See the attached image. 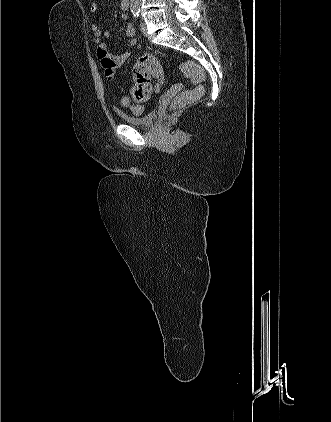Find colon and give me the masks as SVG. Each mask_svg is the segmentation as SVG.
I'll use <instances>...</instances> for the list:
<instances>
[{"label": "colon", "instance_id": "obj_1", "mask_svg": "<svg viewBox=\"0 0 331 422\" xmlns=\"http://www.w3.org/2000/svg\"><path fill=\"white\" fill-rule=\"evenodd\" d=\"M181 72L189 77L194 88L180 93L172 104L173 110H179L191 104L203 95V81L205 78L203 69L195 62L187 61L180 67ZM163 76V68L158 59L153 55L142 56L133 66L134 86L131 95L136 104H131L127 97L123 98L124 106L129 107L134 113L143 111L142 103L146 102L151 93L157 88L153 84V78H161Z\"/></svg>", "mask_w": 331, "mask_h": 422}]
</instances>
